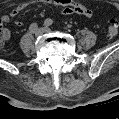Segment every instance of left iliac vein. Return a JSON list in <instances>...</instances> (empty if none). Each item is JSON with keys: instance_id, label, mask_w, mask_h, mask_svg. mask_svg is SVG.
Masks as SVG:
<instances>
[{"instance_id": "left-iliac-vein-1", "label": "left iliac vein", "mask_w": 119, "mask_h": 119, "mask_svg": "<svg viewBox=\"0 0 119 119\" xmlns=\"http://www.w3.org/2000/svg\"><path fill=\"white\" fill-rule=\"evenodd\" d=\"M43 31L46 32V33H48V32H51V29L48 28V27H44V28H43Z\"/></svg>"}]
</instances>
